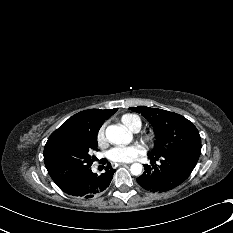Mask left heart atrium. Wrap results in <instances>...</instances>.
<instances>
[{
    "instance_id": "left-heart-atrium-1",
    "label": "left heart atrium",
    "mask_w": 233,
    "mask_h": 233,
    "mask_svg": "<svg viewBox=\"0 0 233 233\" xmlns=\"http://www.w3.org/2000/svg\"><path fill=\"white\" fill-rule=\"evenodd\" d=\"M142 152L143 147L140 144L118 146L109 151L108 157L113 162L128 163L135 160Z\"/></svg>"
}]
</instances>
